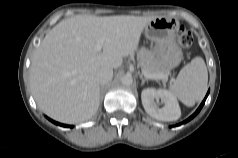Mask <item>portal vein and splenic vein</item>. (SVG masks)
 <instances>
[{"mask_svg": "<svg viewBox=\"0 0 238 158\" xmlns=\"http://www.w3.org/2000/svg\"><path fill=\"white\" fill-rule=\"evenodd\" d=\"M103 43H104V39H99L97 41V43H96L95 50L98 51V52L101 51ZM143 74L148 79L158 80V79H165V78H167V75H164V74H151V73H149L147 71H143Z\"/></svg>", "mask_w": 238, "mask_h": 158, "instance_id": "obj_1", "label": "portal vein and splenic vein"}]
</instances>
